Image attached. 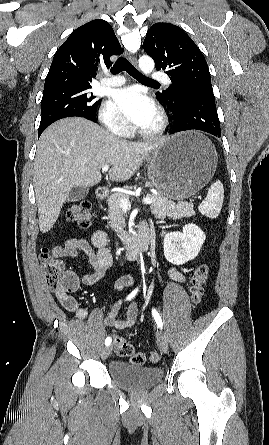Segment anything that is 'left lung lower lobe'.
<instances>
[{"label":"left lung lower lobe","instance_id":"obj_1","mask_svg":"<svg viewBox=\"0 0 269 445\" xmlns=\"http://www.w3.org/2000/svg\"><path fill=\"white\" fill-rule=\"evenodd\" d=\"M170 110L174 116V126L170 134L196 129L221 136L213 91L185 92L178 97L175 108Z\"/></svg>","mask_w":269,"mask_h":445}]
</instances>
